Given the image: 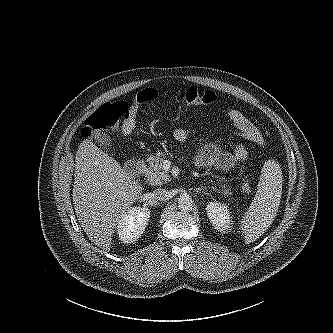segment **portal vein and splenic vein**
Instances as JSON below:
<instances>
[{
    "label": "portal vein and splenic vein",
    "mask_w": 333,
    "mask_h": 333,
    "mask_svg": "<svg viewBox=\"0 0 333 333\" xmlns=\"http://www.w3.org/2000/svg\"><path fill=\"white\" fill-rule=\"evenodd\" d=\"M165 167L168 168V165H166V162H165Z\"/></svg>",
    "instance_id": "18ae733b"
}]
</instances>
